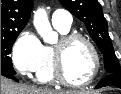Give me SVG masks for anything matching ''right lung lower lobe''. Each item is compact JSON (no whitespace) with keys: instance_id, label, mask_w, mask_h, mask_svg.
<instances>
[{"instance_id":"obj_1","label":"right lung lower lobe","mask_w":121,"mask_h":94,"mask_svg":"<svg viewBox=\"0 0 121 94\" xmlns=\"http://www.w3.org/2000/svg\"><path fill=\"white\" fill-rule=\"evenodd\" d=\"M1 75L18 82V80L16 79L15 75L7 74V73H1Z\"/></svg>"}]
</instances>
